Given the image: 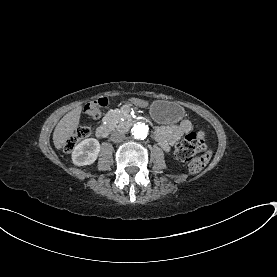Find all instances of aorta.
<instances>
[{
	"mask_svg": "<svg viewBox=\"0 0 277 277\" xmlns=\"http://www.w3.org/2000/svg\"><path fill=\"white\" fill-rule=\"evenodd\" d=\"M131 132L135 139L142 140L147 137L149 127L143 122H138L134 124V126L131 129Z\"/></svg>",
	"mask_w": 277,
	"mask_h": 277,
	"instance_id": "1",
	"label": "aorta"
}]
</instances>
